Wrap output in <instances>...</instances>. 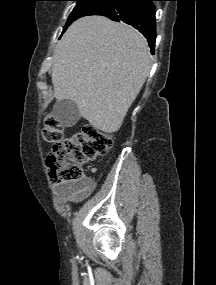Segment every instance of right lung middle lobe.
I'll list each match as a JSON object with an SVG mask.
<instances>
[{
  "mask_svg": "<svg viewBox=\"0 0 216 285\" xmlns=\"http://www.w3.org/2000/svg\"><path fill=\"white\" fill-rule=\"evenodd\" d=\"M77 1L76 6L68 17L63 32L68 26L80 17L95 15L101 10L113 5L117 0H74ZM62 32V33H63Z\"/></svg>",
  "mask_w": 216,
  "mask_h": 285,
  "instance_id": "right-lung-middle-lobe-1",
  "label": "right lung middle lobe"
}]
</instances>
